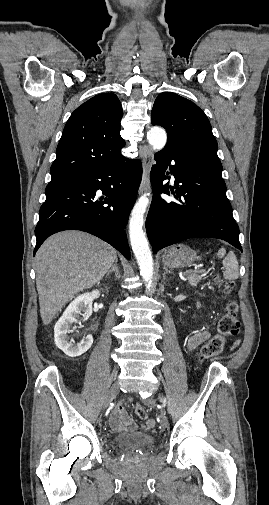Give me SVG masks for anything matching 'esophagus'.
Instances as JSON below:
<instances>
[{
	"instance_id": "34e87169",
	"label": "esophagus",
	"mask_w": 269,
	"mask_h": 505,
	"mask_svg": "<svg viewBox=\"0 0 269 505\" xmlns=\"http://www.w3.org/2000/svg\"><path fill=\"white\" fill-rule=\"evenodd\" d=\"M143 174L142 180L139 187V194L143 193L149 188V176L151 167L153 164V152L152 149L148 146L145 147L144 156H143Z\"/></svg>"
}]
</instances>
